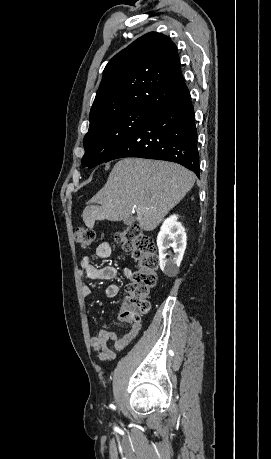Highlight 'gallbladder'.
<instances>
[{
    "mask_svg": "<svg viewBox=\"0 0 271 459\" xmlns=\"http://www.w3.org/2000/svg\"><path fill=\"white\" fill-rule=\"evenodd\" d=\"M124 224H132L134 222L133 218H126V220H123Z\"/></svg>",
    "mask_w": 271,
    "mask_h": 459,
    "instance_id": "1",
    "label": "gallbladder"
}]
</instances>
